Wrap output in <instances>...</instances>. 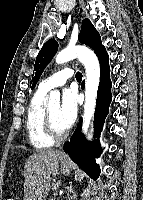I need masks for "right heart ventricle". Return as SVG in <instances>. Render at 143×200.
Returning a JSON list of instances; mask_svg holds the SVG:
<instances>
[{
	"label": "right heart ventricle",
	"mask_w": 143,
	"mask_h": 200,
	"mask_svg": "<svg viewBox=\"0 0 143 200\" xmlns=\"http://www.w3.org/2000/svg\"><path fill=\"white\" fill-rule=\"evenodd\" d=\"M47 92L38 88L33 95L26 116L27 138L31 146L35 149H46L53 145L44 133L43 118L45 112V96Z\"/></svg>",
	"instance_id": "right-heart-ventricle-1"
}]
</instances>
